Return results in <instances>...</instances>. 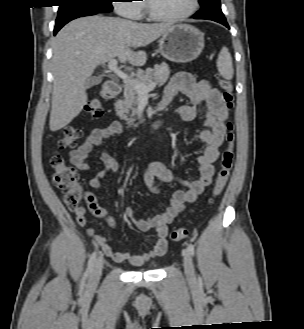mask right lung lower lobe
I'll list each match as a JSON object with an SVG mask.
<instances>
[{
  "label": "right lung lower lobe",
  "mask_w": 304,
  "mask_h": 329,
  "mask_svg": "<svg viewBox=\"0 0 304 329\" xmlns=\"http://www.w3.org/2000/svg\"><path fill=\"white\" fill-rule=\"evenodd\" d=\"M94 14H97V13H84V14H80V15H77V16H74L72 18H69L68 20L66 21H63L59 24H56L55 25V28H54V35H56V33L66 24L68 23L69 21L73 20V19H76L78 17H83V16H90V15H94Z\"/></svg>",
  "instance_id": "98d812e1"
}]
</instances>
